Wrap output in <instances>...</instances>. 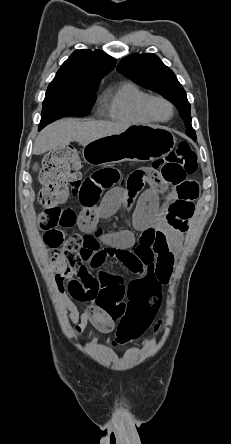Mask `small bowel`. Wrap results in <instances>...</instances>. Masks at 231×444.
Returning a JSON list of instances; mask_svg holds the SVG:
<instances>
[{
	"mask_svg": "<svg viewBox=\"0 0 231 444\" xmlns=\"http://www.w3.org/2000/svg\"><path fill=\"white\" fill-rule=\"evenodd\" d=\"M121 172L105 167L83 181L78 193L82 207L79 215L74 214L81 234H73L64 242L63 230L47 231L45 243L52 248L51 264L60 300L70 320L81 332L88 324L95 331L109 333L115 328L127 307L128 300L147 290L152 283L161 287L169 282L174 266V256L180 249L183 233L171 225V207L178 201L193 204L198 197L199 187L187 181L181 188H174L167 196L168 202L160 212L159 197L165 191V181L154 171L147 176L129 180L125 188L117 187ZM149 187L136 202L137 196ZM107 190L104 196L102 192ZM125 208L135 230L140 232L135 242L130 230L103 231L99 222ZM66 252L77 253L84 264L76 273L83 287V296L78 300L85 303L82 312L66 295L67 278L72 270L67 266ZM108 259H115L135 276L128 286L117 275L103 270Z\"/></svg>",
	"mask_w": 231,
	"mask_h": 444,
	"instance_id": "1",
	"label": "small bowel"
}]
</instances>
